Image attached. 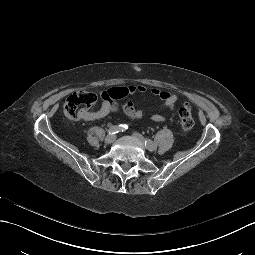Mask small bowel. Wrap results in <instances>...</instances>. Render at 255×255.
<instances>
[{
  "mask_svg": "<svg viewBox=\"0 0 255 255\" xmlns=\"http://www.w3.org/2000/svg\"><path fill=\"white\" fill-rule=\"evenodd\" d=\"M129 92H146L147 89L143 86L127 87ZM105 92L102 93V102L98 110L87 111L82 114L81 119L85 121H93L101 119L111 113L117 112L118 108L113 100L105 97ZM150 93L158 97L162 102V107L174 110L178 104V96L170 91L151 88ZM121 113L130 119H143L145 117V112L141 109H136L130 99H127L122 106ZM150 120L154 122H163L166 118L160 114H153L149 117Z\"/></svg>",
  "mask_w": 255,
  "mask_h": 255,
  "instance_id": "obj_1",
  "label": "small bowel"
}]
</instances>
